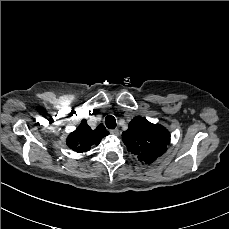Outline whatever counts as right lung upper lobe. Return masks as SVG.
I'll list each match as a JSON object with an SVG mask.
<instances>
[{
    "label": "right lung upper lobe",
    "instance_id": "1",
    "mask_svg": "<svg viewBox=\"0 0 229 229\" xmlns=\"http://www.w3.org/2000/svg\"><path fill=\"white\" fill-rule=\"evenodd\" d=\"M109 134L106 128L101 124L95 130H92L86 120H82L75 131L70 133L67 138V145L73 151L85 153L91 146L98 145L101 139Z\"/></svg>",
    "mask_w": 229,
    "mask_h": 229
}]
</instances>
